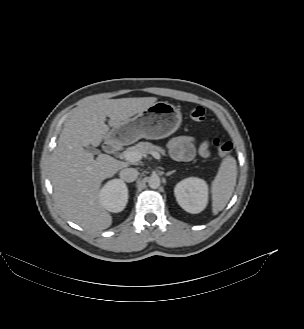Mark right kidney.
Returning <instances> with one entry per match:
<instances>
[{"label":"right kidney","instance_id":"obj_1","mask_svg":"<svg viewBox=\"0 0 304 329\" xmlns=\"http://www.w3.org/2000/svg\"><path fill=\"white\" fill-rule=\"evenodd\" d=\"M102 206L110 212H121L128 202V188L120 179L108 181L100 190Z\"/></svg>","mask_w":304,"mask_h":329}]
</instances>
